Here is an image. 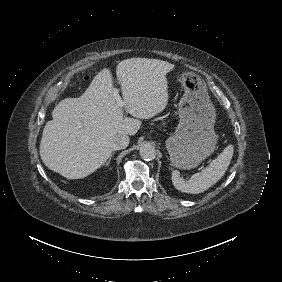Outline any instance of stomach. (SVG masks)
Listing matches in <instances>:
<instances>
[{"label":"stomach","instance_id":"0dacf381","mask_svg":"<svg viewBox=\"0 0 282 282\" xmlns=\"http://www.w3.org/2000/svg\"><path fill=\"white\" fill-rule=\"evenodd\" d=\"M185 88L179 106L180 122L174 134L166 140L171 164L179 169L197 167L216 148L214 131L216 111L204 80L191 73L180 77Z\"/></svg>","mask_w":282,"mask_h":282}]
</instances>
